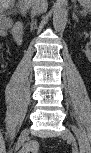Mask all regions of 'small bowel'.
<instances>
[{"label": "small bowel", "instance_id": "1", "mask_svg": "<svg viewBox=\"0 0 91 153\" xmlns=\"http://www.w3.org/2000/svg\"><path fill=\"white\" fill-rule=\"evenodd\" d=\"M2 34H5V29L3 28ZM21 153V152H20Z\"/></svg>", "mask_w": 91, "mask_h": 153}]
</instances>
